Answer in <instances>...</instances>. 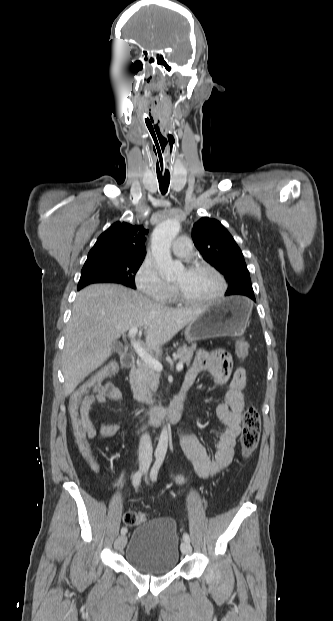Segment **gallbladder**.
<instances>
[{
	"mask_svg": "<svg viewBox=\"0 0 333 621\" xmlns=\"http://www.w3.org/2000/svg\"><path fill=\"white\" fill-rule=\"evenodd\" d=\"M112 351L113 353L121 354L123 351V346L120 343L114 342L112 344Z\"/></svg>",
	"mask_w": 333,
	"mask_h": 621,
	"instance_id": "gallbladder-1",
	"label": "gallbladder"
}]
</instances>
